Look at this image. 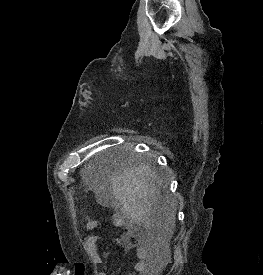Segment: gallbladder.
Listing matches in <instances>:
<instances>
[{
    "mask_svg": "<svg viewBox=\"0 0 263 275\" xmlns=\"http://www.w3.org/2000/svg\"><path fill=\"white\" fill-rule=\"evenodd\" d=\"M96 201L102 206H110L111 199L107 192H100L96 195Z\"/></svg>",
    "mask_w": 263,
    "mask_h": 275,
    "instance_id": "bac80fb5",
    "label": "gallbladder"
}]
</instances>
